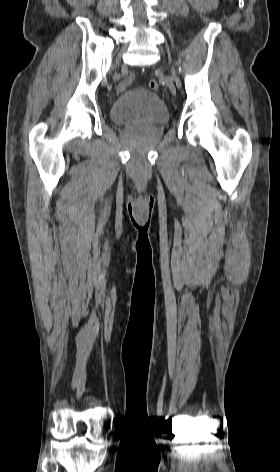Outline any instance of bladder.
<instances>
[{"label": "bladder", "mask_w": 280, "mask_h": 472, "mask_svg": "<svg viewBox=\"0 0 280 472\" xmlns=\"http://www.w3.org/2000/svg\"><path fill=\"white\" fill-rule=\"evenodd\" d=\"M110 117L118 125L162 126L169 115L162 100L151 91L133 88L111 105Z\"/></svg>", "instance_id": "obj_1"}]
</instances>
